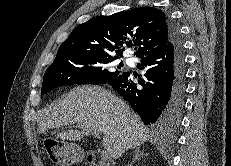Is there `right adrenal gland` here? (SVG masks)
<instances>
[{
	"instance_id": "2a0ac1e0",
	"label": "right adrenal gland",
	"mask_w": 231,
	"mask_h": 166,
	"mask_svg": "<svg viewBox=\"0 0 231 166\" xmlns=\"http://www.w3.org/2000/svg\"><path fill=\"white\" fill-rule=\"evenodd\" d=\"M147 155H148V153H144V151H140V148H136L134 158H133L132 162L127 166H133V164L136 161H139L141 157H144Z\"/></svg>"
}]
</instances>
